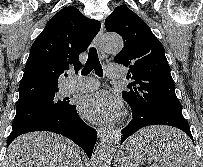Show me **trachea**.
Here are the masks:
<instances>
[{
  "instance_id": "1",
  "label": "trachea",
  "mask_w": 203,
  "mask_h": 167,
  "mask_svg": "<svg viewBox=\"0 0 203 167\" xmlns=\"http://www.w3.org/2000/svg\"><path fill=\"white\" fill-rule=\"evenodd\" d=\"M94 69L95 73L102 77L103 76V69L100 64L98 53L95 47H91L88 53V59L84 68L81 71L82 75H88Z\"/></svg>"
}]
</instances>
